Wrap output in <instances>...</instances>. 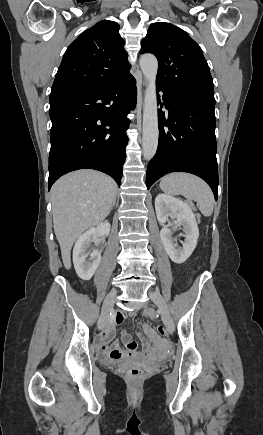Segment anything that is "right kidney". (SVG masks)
Here are the masks:
<instances>
[{"mask_svg":"<svg viewBox=\"0 0 263 435\" xmlns=\"http://www.w3.org/2000/svg\"><path fill=\"white\" fill-rule=\"evenodd\" d=\"M110 223L102 222L97 227L87 230L75 243L73 249V263L77 275L83 280H90L101 261L99 250L88 251L91 243L97 238L108 236Z\"/></svg>","mask_w":263,"mask_h":435,"instance_id":"obj_1","label":"right kidney"}]
</instances>
